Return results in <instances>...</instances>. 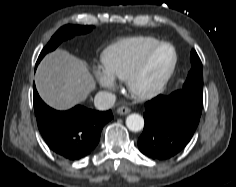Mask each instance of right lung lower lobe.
I'll use <instances>...</instances> for the list:
<instances>
[{"mask_svg":"<svg viewBox=\"0 0 236 187\" xmlns=\"http://www.w3.org/2000/svg\"><path fill=\"white\" fill-rule=\"evenodd\" d=\"M33 103L44 140L51 150L68 160L88 156L98 144L103 126L113 118L111 110L100 112L80 105L68 111L54 110L42 101L35 85Z\"/></svg>","mask_w":236,"mask_h":187,"instance_id":"obj_1","label":"right lung lower lobe"}]
</instances>
